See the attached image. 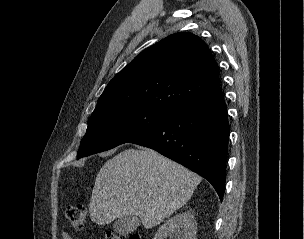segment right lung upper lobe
<instances>
[{
	"mask_svg": "<svg viewBox=\"0 0 304 239\" xmlns=\"http://www.w3.org/2000/svg\"><path fill=\"white\" fill-rule=\"evenodd\" d=\"M220 87L207 44L192 33H176L136 56L106 86L92 115L144 107L172 115Z\"/></svg>",
	"mask_w": 304,
	"mask_h": 239,
	"instance_id": "1",
	"label": "right lung upper lobe"
}]
</instances>
